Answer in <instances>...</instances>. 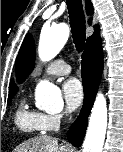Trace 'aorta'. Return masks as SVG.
<instances>
[{"label": "aorta", "instance_id": "aorta-1", "mask_svg": "<svg viewBox=\"0 0 123 152\" xmlns=\"http://www.w3.org/2000/svg\"><path fill=\"white\" fill-rule=\"evenodd\" d=\"M70 29L60 23L42 29L38 56L41 61L52 60L64 47ZM35 104L40 110L56 112L62 109L63 99L58 87L48 81L40 82L36 87ZM107 128V103L104 95L98 93L89 119V126L83 144V152H102Z\"/></svg>", "mask_w": 123, "mask_h": 152}]
</instances>
